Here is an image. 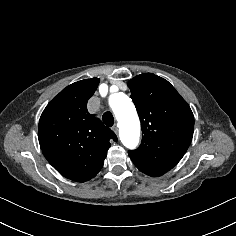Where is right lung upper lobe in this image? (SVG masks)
Listing matches in <instances>:
<instances>
[{
    "label": "right lung upper lobe",
    "mask_w": 236,
    "mask_h": 236,
    "mask_svg": "<svg viewBox=\"0 0 236 236\" xmlns=\"http://www.w3.org/2000/svg\"><path fill=\"white\" fill-rule=\"evenodd\" d=\"M98 78L75 82L62 90L44 109L38 139L48 162L63 176L77 182L101 170L115 133L89 114L87 102Z\"/></svg>",
    "instance_id": "right-lung-upper-lobe-1"
}]
</instances>
